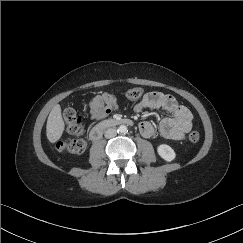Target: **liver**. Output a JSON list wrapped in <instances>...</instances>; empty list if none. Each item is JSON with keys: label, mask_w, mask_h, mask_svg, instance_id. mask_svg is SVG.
Segmentation results:
<instances>
[{"label": "liver", "mask_w": 243, "mask_h": 243, "mask_svg": "<svg viewBox=\"0 0 243 243\" xmlns=\"http://www.w3.org/2000/svg\"><path fill=\"white\" fill-rule=\"evenodd\" d=\"M64 121L61 115V107L59 104L55 105L47 119L46 135L51 143L59 140L64 131Z\"/></svg>", "instance_id": "liver-1"}]
</instances>
